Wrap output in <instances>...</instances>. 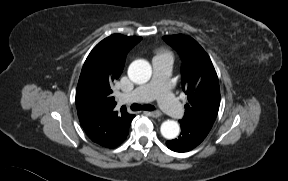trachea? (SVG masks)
Returning <instances> with one entry per match:
<instances>
[{
  "label": "trachea",
  "instance_id": "obj_1",
  "mask_svg": "<svg viewBox=\"0 0 288 181\" xmlns=\"http://www.w3.org/2000/svg\"><path fill=\"white\" fill-rule=\"evenodd\" d=\"M131 109L133 111H140V110L153 111V110H155V107L150 105V104L142 106L140 104L134 103V104L131 105Z\"/></svg>",
  "mask_w": 288,
  "mask_h": 181
}]
</instances>
